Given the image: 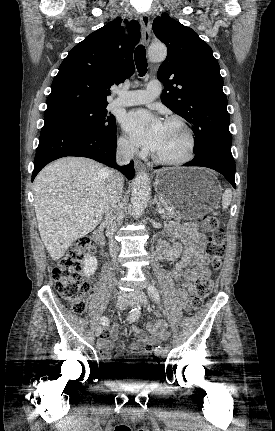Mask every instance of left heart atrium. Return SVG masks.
Masks as SVG:
<instances>
[{
    "label": "left heart atrium",
    "instance_id": "left-heart-atrium-1",
    "mask_svg": "<svg viewBox=\"0 0 275 431\" xmlns=\"http://www.w3.org/2000/svg\"><path fill=\"white\" fill-rule=\"evenodd\" d=\"M124 127L136 145L155 152L161 143L165 124L151 113L139 110L126 115Z\"/></svg>",
    "mask_w": 275,
    "mask_h": 431
}]
</instances>
